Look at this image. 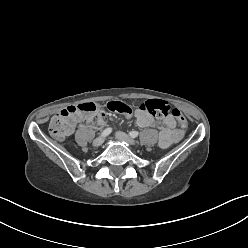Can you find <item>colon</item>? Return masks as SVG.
Returning a JSON list of instances; mask_svg holds the SVG:
<instances>
[{
    "label": "colon",
    "instance_id": "obj_1",
    "mask_svg": "<svg viewBox=\"0 0 248 248\" xmlns=\"http://www.w3.org/2000/svg\"><path fill=\"white\" fill-rule=\"evenodd\" d=\"M107 108L112 112L121 113L129 122L134 120V111L126 103L111 101L107 104ZM138 108L157 118L172 115L177 119L182 129L187 127V120L181 111L164 101L146 100ZM81 118H85L95 125H104L108 122V116L99 104L93 102L81 103L68 106L55 114L49 124L50 135L55 139H63Z\"/></svg>",
    "mask_w": 248,
    "mask_h": 248
}]
</instances>
